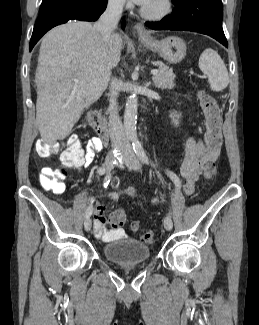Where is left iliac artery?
Returning a JSON list of instances; mask_svg holds the SVG:
<instances>
[{
    "mask_svg": "<svg viewBox=\"0 0 259 325\" xmlns=\"http://www.w3.org/2000/svg\"><path fill=\"white\" fill-rule=\"evenodd\" d=\"M133 149L134 152L136 153V155L138 156V158L145 164H150L149 158L143 148V146L141 145V143H139L138 141H134L133 142ZM167 175L170 177V179L174 182V184L180 188V180L177 177V175L175 173H173L170 170H166Z\"/></svg>",
    "mask_w": 259,
    "mask_h": 325,
    "instance_id": "obj_1",
    "label": "left iliac artery"
}]
</instances>
